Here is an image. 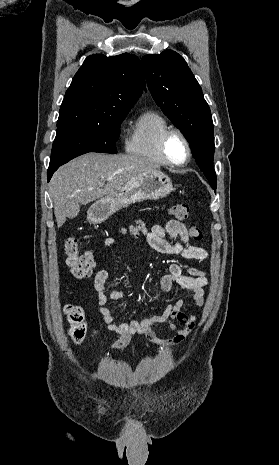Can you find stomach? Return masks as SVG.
Here are the masks:
<instances>
[{
	"label": "stomach",
	"mask_w": 279,
	"mask_h": 465,
	"mask_svg": "<svg viewBox=\"0 0 279 465\" xmlns=\"http://www.w3.org/2000/svg\"><path fill=\"white\" fill-rule=\"evenodd\" d=\"M174 190L171 179L160 171L141 173L112 195L96 201L88 210L87 218L98 224L108 219L113 213L135 202L156 200L166 197Z\"/></svg>",
	"instance_id": "1"
}]
</instances>
